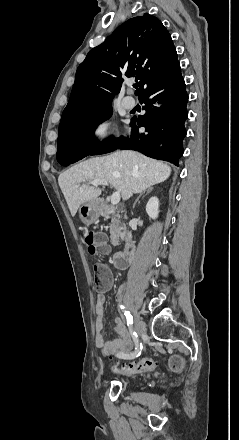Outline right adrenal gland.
Masks as SVG:
<instances>
[{
	"instance_id": "right-adrenal-gland-1",
	"label": "right adrenal gland",
	"mask_w": 239,
	"mask_h": 440,
	"mask_svg": "<svg viewBox=\"0 0 239 440\" xmlns=\"http://www.w3.org/2000/svg\"><path fill=\"white\" fill-rule=\"evenodd\" d=\"M151 190H153V188H148V190H146V192H143V194H150ZM142 194H140L139 198H141ZM139 198H137L136 202H134L133 204V208H135Z\"/></svg>"
}]
</instances>
